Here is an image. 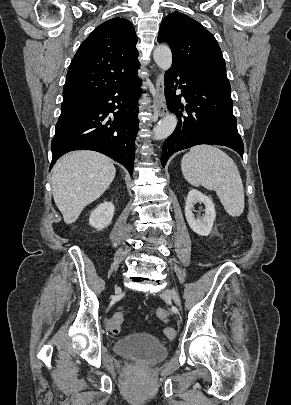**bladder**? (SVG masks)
<instances>
[{"mask_svg":"<svg viewBox=\"0 0 291 405\" xmlns=\"http://www.w3.org/2000/svg\"><path fill=\"white\" fill-rule=\"evenodd\" d=\"M113 350L124 359L152 364L163 360L169 347L152 334L134 332L117 339Z\"/></svg>","mask_w":291,"mask_h":405,"instance_id":"1","label":"bladder"}]
</instances>
